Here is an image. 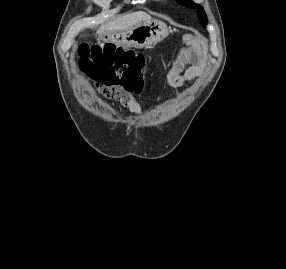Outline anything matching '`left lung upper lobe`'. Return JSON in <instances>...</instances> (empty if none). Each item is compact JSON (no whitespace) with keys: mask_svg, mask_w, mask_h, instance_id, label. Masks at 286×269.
I'll list each match as a JSON object with an SVG mask.
<instances>
[{"mask_svg":"<svg viewBox=\"0 0 286 269\" xmlns=\"http://www.w3.org/2000/svg\"><path fill=\"white\" fill-rule=\"evenodd\" d=\"M182 4H184L185 6L192 8V9H200L198 11V17L199 20L203 23V25H206V14L204 12V10L202 9V6L195 4L192 0H179Z\"/></svg>","mask_w":286,"mask_h":269,"instance_id":"5c2ea615","label":"left lung upper lobe"}]
</instances>
